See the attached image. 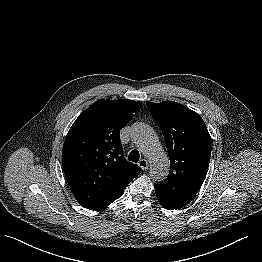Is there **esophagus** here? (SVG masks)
Instances as JSON below:
<instances>
[{"label": "esophagus", "mask_w": 262, "mask_h": 262, "mask_svg": "<svg viewBox=\"0 0 262 262\" xmlns=\"http://www.w3.org/2000/svg\"><path fill=\"white\" fill-rule=\"evenodd\" d=\"M138 165L143 169V170H146L148 169L149 167V163L146 159H141L139 162H138Z\"/></svg>", "instance_id": "esophagus-1"}]
</instances>
